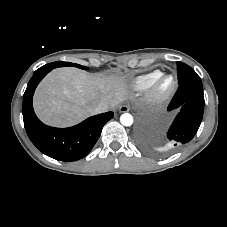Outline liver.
Wrapping results in <instances>:
<instances>
[{"label": "liver", "mask_w": 227, "mask_h": 227, "mask_svg": "<svg viewBox=\"0 0 227 227\" xmlns=\"http://www.w3.org/2000/svg\"><path fill=\"white\" fill-rule=\"evenodd\" d=\"M128 94L126 80L119 75L89 74L76 68H58L39 84L33 106L46 124L66 127L95 114V104L105 101L116 107Z\"/></svg>", "instance_id": "obj_1"}]
</instances>
